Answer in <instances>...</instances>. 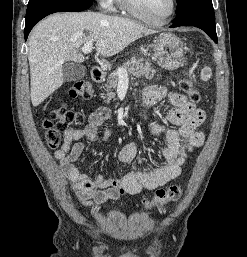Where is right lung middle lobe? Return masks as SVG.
Instances as JSON below:
<instances>
[{"label":"right lung middle lobe","instance_id":"1","mask_svg":"<svg viewBox=\"0 0 247 257\" xmlns=\"http://www.w3.org/2000/svg\"><path fill=\"white\" fill-rule=\"evenodd\" d=\"M36 1H39V0H29V3H33V2H36ZM84 1H93V0H84Z\"/></svg>","mask_w":247,"mask_h":257}]
</instances>
